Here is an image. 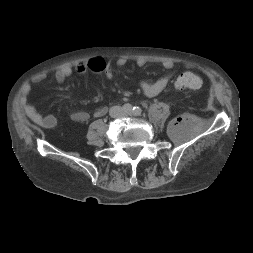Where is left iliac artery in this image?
Instances as JSON below:
<instances>
[{"mask_svg": "<svg viewBox=\"0 0 253 253\" xmlns=\"http://www.w3.org/2000/svg\"><path fill=\"white\" fill-rule=\"evenodd\" d=\"M141 113H142V110H141L140 107L135 106V107L133 108V114H134L135 116H139Z\"/></svg>", "mask_w": 253, "mask_h": 253, "instance_id": "left-iliac-artery-1", "label": "left iliac artery"}]
</instances>
